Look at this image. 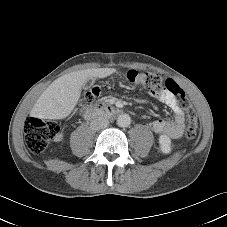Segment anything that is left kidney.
<instances>
[{
	"label": "left kidney",
	"mask_w": 227,
	"mask_h": 227,
	"mask_svg": "<svg viewBox=\"0 0 227 227\" xmlns=\"http://www.w3.org/2000/svg\"><path fill=\"white\" fill-rule=\"evenodd\" d=\"M159 144L162 152L169 153L171 151V139L166 135L159 137Z\"/></svg>",
	"instance_id": "obj_1"
}]
</instances>
